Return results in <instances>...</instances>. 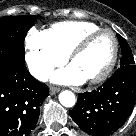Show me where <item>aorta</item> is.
Listing matches in <instances>:
<instances>
[{"label": "aorta", "instance_id": "obj_1", "mask_svg": "<svg viewBox=\"0 0 136 136\" xmlns=\"http://www.w3.org/2000/svg\"><path fill=\"white\" fill-rule=\"evenodd\" d=\"M59 101L65 107H73L75 105L76 98L73 92L65 90L59 94Z\"/></svg>", "mask_w": 136, "mask_h": 136}]
</instances>
